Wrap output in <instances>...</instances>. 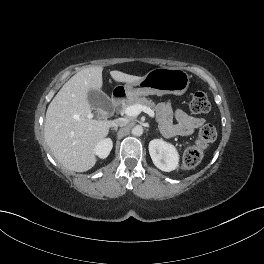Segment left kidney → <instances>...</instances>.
Masks as SVG:
<instances>
[{
	"label": "left kidney",
	"mask_w": 264,
	"mask_h": 264,
	"mask_svg": "<svg viewBox=\"0 0 264 264\" xmlns=\"http://www.w3.org/2000/svg\"><path fill=\"white\" fill-rule=\"evenodd\" d=\"M149 154L154 165L162 171L170 172L179 165V155L176 148L162 139L150 141Z\"/></svg>",
	"instance_id": "5707ae66"
}]
</instances>
